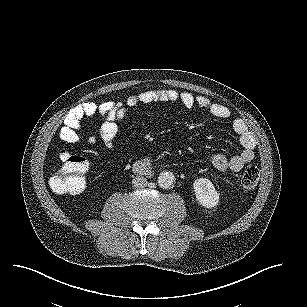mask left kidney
I'll list each match as a JSON object with an SVG mask.
<instances>
[{
    "label": "left kidney",
    "instance_id": "left-kidney-1",
    "mask_svg": "<svg viewBox=\"0 0 307 307\" xmlns=\"http://www.w3.org/2000/svg\"><path fill=\"white\" fill-rule=\"evenodd\" d=\"M194 191L199 202L206 207H214L219 200V194L215 191L212 182L206 178L197 179L194 182Z\"/></svg>",
    "mask_w": 307,
    "mask_h": 307
}]
</instances>
